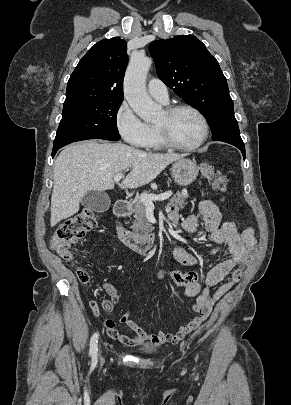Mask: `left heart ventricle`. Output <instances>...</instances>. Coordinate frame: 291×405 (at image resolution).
I'll return each mask as SVG.
<instances>
[{
    "mask_svg": "<svg viewBox=\"0 0 291 405\" xmlns=\"http://www.w3.org/2000/svg\"><path fill=\"white\" fill-rule=\"evenodd\" d=\"M156 126L167 127L171 138L182 145L196 143L202 136L203 126L199 117L189 110H180L172 116L163 112Z\"/></svg>",
    "mask_w": 291,
    "mask_h": 405,
    "instance_id": "b2bd125f",
    "label": "left heart ventricle"
}]
</instances>
